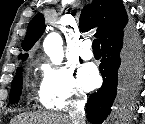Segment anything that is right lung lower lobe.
Instances as JSON below:
<instances>
[{"mask_svg": "<svg viewBox=\"0 0 145 124\" xmlns=\"http://www.w3.org/2000/svg\"><path fill=\"white\" fill-rule=\"evenodd\" d=\"M101 48L99 69L103 84L89 97L86 105L87 118L93 124H101L110 114L115 99L121 98L117 94L118 81L124 82L131 89L137 87L142 66L139 39L131 31L122 30L108 37L101 43ZM118 70L123 74V79H118Z\"/></svg>", "mask_w": 145, "mask_h": 124, "instance_id": "obj_1", "label": "right lung lower lobe"}]
</instances>
